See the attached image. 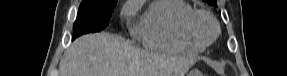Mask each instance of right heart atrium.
Listing matches in <instances>:
<instances>
[{"label":"right heart atrium","instance_id":"right-heart-atrium-1","mask_svg":"<svg viewBox=\"0 0 287 76\" xmlns=\"http://www.w3.org/2000/svg\"><path fill=\"white\" fill-rule=\"evenodd\" d=\"M136 11V8L134 7V6H128L127 7V12L129 13V14H132V13H134Z\"/></svg>","mask_w":287,"mask_h":76}]
</instances>
